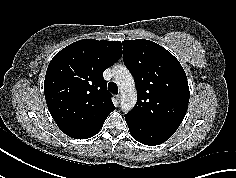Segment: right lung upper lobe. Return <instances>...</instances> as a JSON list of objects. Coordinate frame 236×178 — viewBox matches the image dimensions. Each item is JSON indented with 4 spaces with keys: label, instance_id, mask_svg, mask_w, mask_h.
I'll list each match as a JSON object with an SVG mask.
<instances>
[{
    "label": "right lung upper lobe",
    "instance_id": "1",
    "mask_svg": "<svg viewBox=\"0 0 236 178\" xmlns=\"http://www.w3.org/2000/svg\"><path fill=\"white\" fill-rule=\"evenodd\" d=\"M122 56L118 41L74 42L51 60L44 93L50 114L66 135L87 139L115 110L103 72Z\"/></svg>",
    "mask_w": 236,
    "mask_h": 178
}]
</instances>
